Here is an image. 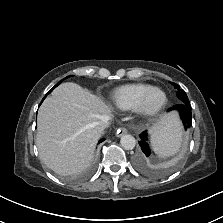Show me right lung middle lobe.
I'll list each match as a JSON object with an SVG mask.
<instances>
[{
  "label": "right lung middle lobe",
  "instance_id": "dd1d6c3e",
  "mask_svg": "<svg viewBox=\"0 0 223 223\" xmlns=\"http://www.w3.org/2000/svg\"><path fill=\"white\" fill-rule=\"evenodd\" d=\"M68 77H70V76H68ZM68 77H66V78H68ZM66 78H64L63 80H65ZM63 80H61L60 82H62ZM60 82H59V83H60ZM59 83H58V84H59ZM58 84L55 85V86H54V87H53L47 94H49V93H50L56 86H58Z\"/></svg>",
  "mask_w": 223,
  "mask_h": 223
}]
</instances>
